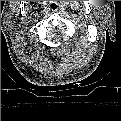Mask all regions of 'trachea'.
I'll use <instances>...</instances> for the list:
<instances>
[{
	"label": "trachea",
	"instance_id": "3493384b",
	"mask_svg": "<svg viewBox=\"0 0 121 121\" xmlns=\"http://www.w3.org/2000/svg\"><path fill=\"white\" fill-rule=\"evenodd\" d=\"M49 7L52 12H59L60 10V5L57 2L50 4Z\"/></svg>",
	"mask_w": 121,
	"mask_h": 121
}]
</instances>
